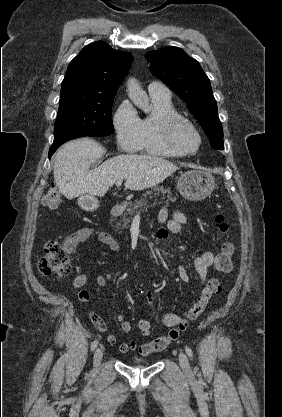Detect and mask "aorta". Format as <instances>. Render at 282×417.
Wrapping results in <instances>:
<instances>
[{
    "mask_svg": "<svg viewBox=\"0 0 282 417\" xmlns=\"http://www.w3.org/2000/svg\"><path fill=\"white\" fill-rule=\"evenodd\" d=\"M127 92L130 100L144 110V112H149V98L147 92L143 90L142 86H140L137 78H128L127 80Z\"/></svg>",
    "mask_w": 282,
    "mask_h": 417,
    "instance_id": "obj_1",
    "label": "aorta"
}]
</instances>
